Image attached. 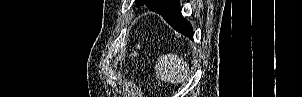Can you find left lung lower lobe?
Listing matches in <instances>:
<instances>
[{"mask_svg":"<svg viewBox=\"0 0 302 97\" xmlns=\"http://www.w3.org/2000/svg\"><path fill=\"white\" fill-rule=\"evenodd\" d=\"M146 7L160 14L175 30L193 39V30L180 11L179 0H148Z\"/></svg>","mask_w":302,"mask_h":97,"instance_id":"left-lung-lower-lobe-1","label":"left lung lower lobe"}]
</instances>
